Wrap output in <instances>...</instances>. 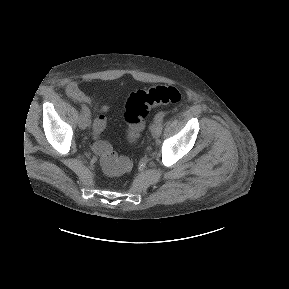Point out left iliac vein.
Instances as JSON below:
<instances>
[{
    "instance_id": "1",
    "label": "left iliac vein",
    "mask_w": 289,
    "mask_h": 289,
    "mask_svg": "<svg viewBox=\"0 0 289 289\" xmlns=\"http://www.w3.org/2000/svg\"><path fill=\"white\" fill-rule=\"evenodd\" d=\"M151 134L154 138H158L162 131V121L154 120L151 127Z\"/></svg>"
}]
</instances>
